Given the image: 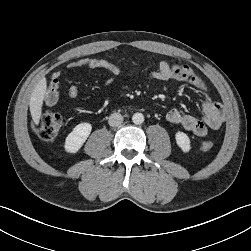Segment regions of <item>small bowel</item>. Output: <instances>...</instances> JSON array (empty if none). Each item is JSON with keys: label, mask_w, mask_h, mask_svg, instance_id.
Segmentation results:
<instances>
[{"label": "small bowel", "mask_w": 251, "mask_h": 251, "mask_svg": "<svg viewBox=\"0 0 251 251\" xmlns=\"http://www.w3.org/2000/svg\"><path fill=\"white\" fill-rule=\"evenodd\" d=\"M72 68L87 67L89 69H104L111 73V77L104 79V87H113L116 83V76L119 74L118 67L111 61L98 58H84L70 64ZM146 77L160 81L184 82L192 85L202 95V118L183 113L178 109H171L166 114V119L184 129L193 132L198 137L207 135L208 130L218 129L224 121L223 107L221 104L212 100L210 91L204 81L187 65L170 64L167 61H161L158 69L146 74ZM60 72H54L48 83L45 104L53 105L59 97ZM79 94L77 86H71L68 95L76 98Z\"/></svg>", "instance_id": "c3829d8e"}]
</instances>
